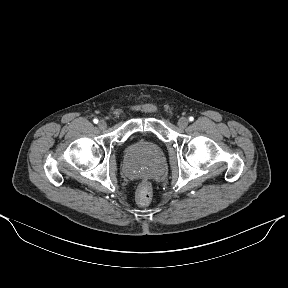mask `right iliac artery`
<instances>
[{"instance_id": "82829eb1", "label": "right iliac artery", "mask_w": 288, "mask_h": 288, "mask_svg": "<svg viewBox=\"0 0 288 288\" xmlns=\"http://www.w3.org/2000/svg\"><path fill=\"white\" fill-rule=\"evenodd\" d=\"M93 122H94L95 124H97V123H98V119H97V118L93 119Z\"/></svg>"}]
</instances>
